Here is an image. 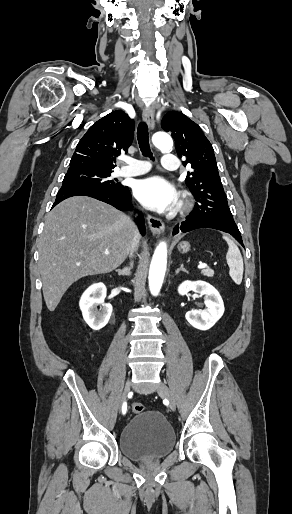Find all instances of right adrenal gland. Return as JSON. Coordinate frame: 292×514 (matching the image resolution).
I'll return each instance as SVG.
<instances>
[{
  "label": "right adrenal gland",
  "instance_id": "right-adrenal-gland-1",
  "mask_svg": "<svg viewBox=\"0 0 292 514\" xmlns=\"http://www.w3.org/2000/svg\"><path fill=\"white\" fill-rule=\"evenodd\" d=\"M132 268L133 262L131 260V262H129V268H123V270H116V272H118V276H130V270H132Z\"/></svg>",
  "mask_w": 292,
  "mask_h": 514
}]
</instances>
